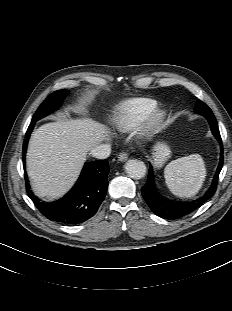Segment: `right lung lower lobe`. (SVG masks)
I'll use <instances>...</instances> for the list:
<instances>
[{
	"instance_id": "98d812e1",
	"label": "right lung lower lobe",
	"mask_w": 232,
	"mask_h": 311,
	"mask_svg": "<svg viewBox=\"0 0 232 311\" xmlns=\"http://www.w3.org/2000/svg\"><path fill=\"white\" fill-rule=\"evenodd\" d=\"M34 125L35 122L32 121L23 143L24 168L27 144ZM108 172L109 162L106 159L85 163L81 175L71 191L52 203L42 202L32 193L25 174L26 190L38 210L48 219L75 225L86 221L97 212L107 192Z\"/></svg>"
}]
</instances>
